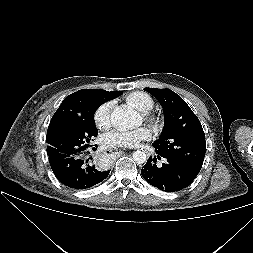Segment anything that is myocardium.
Masks as SVG:
<instances>
[{
  "label": "myocardium",
  "mask_w": 253,
  "mask_h": 253,
  "mask_svg": "<svg viewBox=\"0 0 253 253\" xmlns=\"http://www.w3.org/2000/svg\"><path fill=\"white\" fill-rule=\"evenodd\" d=\"M143 118L154 130H158L161 126V118L153 112H143Z\"/></svg>",
  "instance_id": "obj_1"
}]
</instances>
